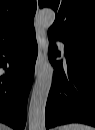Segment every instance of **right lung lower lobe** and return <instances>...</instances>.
Masks as SVG:
<instances>
[{
    "mask_svg": "<svg viewBox=\"0 0 95 130\" xmlns=\"http://www.w3.org/2000/svg\"><path fill=\"white\" fill-rule=\"evenodd\" d=\"M37 53L34 29L13 42L0 45V67L10 65L5 74L0 72V121L16 130H22L26 124L27 98Z\"/></svg>",
    "mask_w": 95,
    "mask_h": 130,
    "instance_id": "98d812e1",
    "label": "right lung lower lobe"
}]
</instances>
